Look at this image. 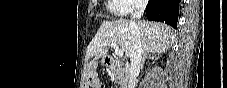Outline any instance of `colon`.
<instances>
[{
    "instance_id": "colon-1",
    "label": "colon",
    "mask_w": 227,
    "mask_h": 88,
    "mask_svg": "<svg viewBox=\"0 0 227 88\" xmlns=\"http://www.w3.org/2000/svg\"><path fill=\"white\" fill-rule=\"evenodd\" d=\"M98 71H99V68H98V67H96V68H95V72L97 73Z\"/></svg>"
}]
</instances>
